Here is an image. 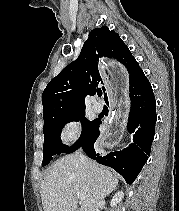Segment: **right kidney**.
Returning <instances> with one entry per match:
<instances>
[{"label": "right kidney", "instance_id": "ca27d5eb", "mask_svg": "<svg viewBox=\"0 0 179 211\" xmlns=\"http://www.w3.org/2000/svg\"><path fill=\"white\" fill-rule=\"evenodd\" d=\"M123 197H124V192L123 191L117 192L113 196V198L111 200V207L117 206V204L121 202V200L123 199Z\"/></svg>", "mask_w": 179, "mask_h": 211}]
</instances>
